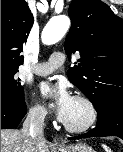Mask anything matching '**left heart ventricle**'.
<instances>
[{
    "instance_id": "left-heart-ventricle-1",
    "label": "left heart ventricle",
    "mask_w": 123,
    "mask_h": 152,
    "mask_svg": "<svg viewBox=\"0 0 123 152\" xmlns=\"http://www.w3.org/2000/svg\"><path fill=\"white\" fill-rule=\"evenodd\" d=\"M88 109L80 101L73 99L69 114L65 120L66 123L74 126L84 124L88 119Z\"/></svg>"
}]
</instances>
